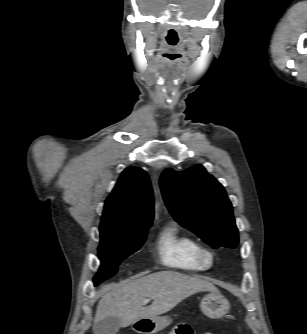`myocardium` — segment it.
<instances>
[{
	"instance_id": "f54148a6",
	"label": "myocardium",
	"mask_w": 307,
	"mask_h": 334,
	"mask_svg": "<svg viewBox=\"0 0 307 334\" xmlns=\"http://www.w3.org/2000/svg\"><path fill=\"white\" fill-rule=\"evenodd\" d=\"M196 257L199 263L205 268H210L213 266L215 261L214 253L208 247L199 245L196 249Z\"/></svg>"
}]
</instances>
